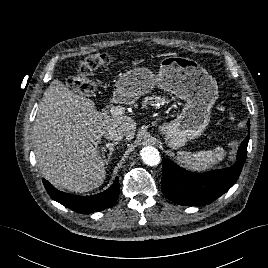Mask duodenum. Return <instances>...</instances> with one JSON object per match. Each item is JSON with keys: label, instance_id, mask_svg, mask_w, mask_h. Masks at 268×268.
<instances>
[{"label": "duodenum", "instance_id": "duodenum-1", "mask_svg": "<svg viewBox=\"0 0 268 268\" xmlns=\"http://www.w3.org/2000/svg\"><path fill=\"white\" fill-rule=\"evenodd\" d=\"M118 102V97L117 96H113L111 99V103L112 104H116Z\"/></svg>", "mask_w": 268, "mask_h": 268}]
</instances>
